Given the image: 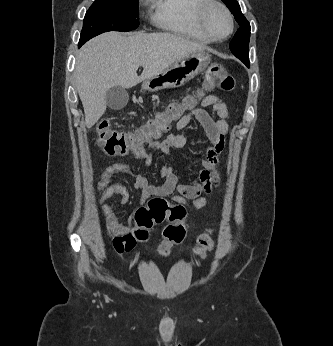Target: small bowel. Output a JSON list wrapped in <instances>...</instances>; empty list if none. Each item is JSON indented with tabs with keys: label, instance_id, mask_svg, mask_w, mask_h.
I'll list each match as a JSON object with an SVG mask.
<instances>
[{
	"label": "small bowel",
	"instance_id": "c3829d8e",
	"mask_svg": "<svg viewBox=\"0 0 333 346\" xmlns=\"http://www.w3.org/2000/svg\"><path fill=\"white\" fill-rule=\"evenodd\" d=\"M200 105V108H192L178 119L176 133L169 135L165 140L152 143L148 149L141 148L132 152L135 159L145 165H151L155 152L168 156L172 150L182 148L186 144V138L181 131L195 119L202 126L209 142L205 156L200 161L201 169L197 179L182 183L169 163H165L158 173L160 177L164 178L160 185L154 184L145 175L136 173L128 164L117 161L112 162L103 172L98 183L100 192L98 203L100 213L105 219L107 235L111 238L110 246H113V250H116L117 254H130L136 244V236L131 231L135 213L125 221H121L115 213L118 205H124L130 200V192L124 184L112 183L115 175L133 176L135 186L141 192V202L143 203L151 197L159 196L170 197L176 205L184 208L192 207L199 210L207 206V199L200 197V194L202 192L211 193L220 182L218 165L225 139L229 133L227 120L230 114L227 105L216 95L203 97ZM211 111L215 116L211 114ZM115 195L120 196L118 203H106Z\"/></svg>",
	"mask_w": 333,
	"mask_h": 346
}]
</instances>
